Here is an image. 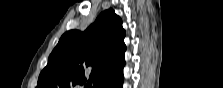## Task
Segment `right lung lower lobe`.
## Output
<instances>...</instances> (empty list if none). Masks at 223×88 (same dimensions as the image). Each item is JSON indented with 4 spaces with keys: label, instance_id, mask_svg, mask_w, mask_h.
<instances>
[{
    "label": "right lung lower lobe",
    "instance_id": "right-lung-lower-lobe-1",
    "mask_svg": "<svg viewBox=\"0 0 223 88\" xmlns=\"http://www.w3.org/2000/svg\"><path fill=\"white\" fill-rule=\"evenodd\" d=\"M122 84H123V81L120 84L116 85L115 87H111V88H122Z\"/></svg>",
    "mask_w": 223,
    "mask_h": 88
}]
</instances>
